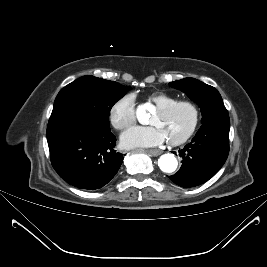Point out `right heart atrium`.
<instances>
[{
    "label": "right heart atrium",
    "instance_id": "obj_1",
    "mask_svg": "<svg viewBox=\"0 0 267 267\" xmlns=\"http://www.w3.org/2000/svg\"><path fill=\"white\" fill-rule=\"evenodd\" d=\"M109 120L117 130H125L136 121V104L132 94H124L110 107Z\"/></svg>",
    "mask_w": 267,
    "mask_h": 267
}]
</instances>
